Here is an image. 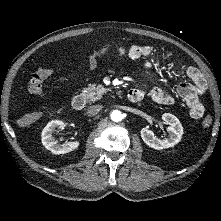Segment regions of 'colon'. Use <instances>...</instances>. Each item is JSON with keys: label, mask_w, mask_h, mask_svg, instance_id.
Instances as JSON below:
<instances>
[{"label": "colon", "mask_w": 221, "mask_h": 221, "mask_svg": "<svg viewBox=\"0 0 221 221\" xmlns=\"http://www.w3.org/2000/svg\"><path fill=\"white\" fill-rule=\"evenodd\" d=\"M52 74V70L50 68H40L35 73H33L28 82H27V90L31 94L41 95L44 93L43 82ZM41 114L39 112L29 113L18 121L21 127H27L31 124L35 123ZM213 123V119L211 116H206L202 121V126L205 130L210 129Z\"/></svg>", "instance_id": "1"}]
</instances>
